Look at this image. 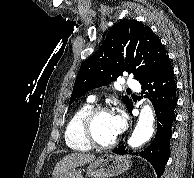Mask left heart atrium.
<instances>
[{"label":"left heart atrium","instance_id":"obj_1","mask_svg":"<svg viewBox=\"0 0 194 178\" xmlns=\"http://www.w3.org/2000/svg\"><path fill=\"white\" fill-rule=\"evenodd\" d=\"M126 126V120L123 114H113V127L115 133L120 134Z\"/></svg>","mask_w":194,"mask_h":178}]
</instances>
